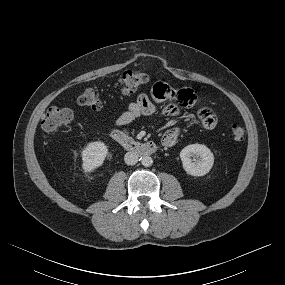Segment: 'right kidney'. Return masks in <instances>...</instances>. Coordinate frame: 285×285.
I'll list each match as a JSON object with an SVG mask.
<instances>
[{
	"instance_id": "ca27d5eb",
	"label": "right kidney",
	"mask_w": 285,
	"mask_h": 285,
	"mask_svg": "<svg viewBox=\"0 0 285 285\" xmlns=\"http://www.w3.org/2000/svg\"><path fill=\"white\" fill-rule=\"evenodd\" d=\"M108 153L107 146L100 141L89 143L82 151V169L84 172H93L100 167Z\"/></svg>"
}]
</instances>
